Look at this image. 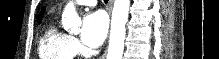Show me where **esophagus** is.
Returning a JSON list of instances; mask_svg holds the SVG:
<instances>
[{
    "label": "esophagus",
    "mask_w": 219,
    "mask_h": 59,
    "mask_svg": "<svg viewBox=\"0 0 219 59\" xmlns=\"http://www.w3.org/2000/svg\"><path fill=\"white\" fill-rule=\"evenodd\" d=\"M112 5H113V0H109V6H108V12H109V14H111ZM106 54H107V51H105V53L103 54L102 59H105Z\"/></svg>",
    "instance_id": "34e87169"
}]
</instances>
